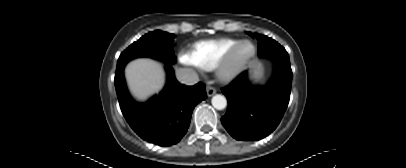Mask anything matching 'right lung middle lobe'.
<instances>
[{
	"label": "right lung middle lobe",
	"mask_w": 406,
	"mask_h": 168,
	"mask_svg": "<svg viewBox=\"0 0 406 168\" xmlns=\"http://www.w3.org/2000/svg\"><path fill=\"white\" fill-rule=\"evenodd\" d=\"M174 34L163 31L149 32L123 51L117 61V68H123L127 62L137 57L161 59L165 63H174L176 57L172 51Z\"/></svg>",
	"instance_id": "dd1d6c3e"
}]
</instances>
